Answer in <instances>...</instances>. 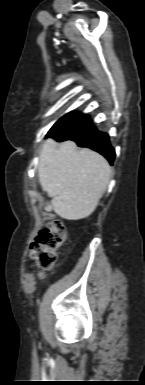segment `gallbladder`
Returning a JSON list of instances; mask_svg holds the SVG:
<instances>
[{"instance_id":"obj_1","label":"gallbladder","mask_w":145,"mask_h":385,"mask_svg":"<svg viewBox=\"0 0 145 385\" xmlns=\"http://www.w3.org/2000/svg\"><path fill=\"white\" fill-rule=\"evenodd\" d=\"M45 210L50 211L51 210V203L45 204Z\"/></svg>"}]
</instances>
